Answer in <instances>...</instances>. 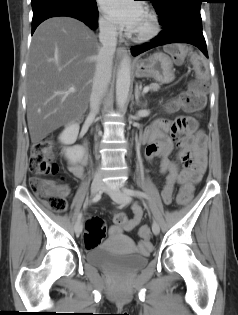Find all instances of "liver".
Here are the masks:
<instances>
[{"mask_svg": "<svg viewBox=\"0 0 238 315\" xmlns=\"http://www.w3.org/2000/svg\"><path fill=\"white\" fill-rule=\"evenodd\" d=\"M100 48L94 32L70 17L47 19L36 29L26 70L27 122L34 145L82 118Z\"/></svg>", "mask_w": 238, "mask_h": 315, "instance_id": "1", "label": "liver"}]
</instances>
